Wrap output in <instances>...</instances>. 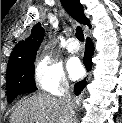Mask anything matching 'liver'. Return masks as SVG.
<instances>
[{"instance_id": "obj_1", "label": "liver", "mask_w": 122, "mask_h": 123, "mask_svg": "<svg viewBox=\"0 0 122 123\" xmlns=\"http://www.w3.org/2000/svg\"><path fill=\"white\" fill-rule=\"evenodd\" d=\"M75 119V115H64L60 99L49 94H37L17 104L10 123H75Z\"/></svg>"}]
</instances>
